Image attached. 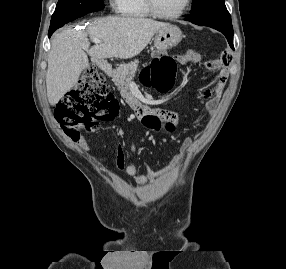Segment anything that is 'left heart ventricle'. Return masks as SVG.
I'll list each match as a JSON object with an SVG mask.
<instances>
[{
  "mask_svg": "<svg viewBox=\"0 0 286 269\" xmlns=\"http://www.w3.org/2000/svg\"><path fill=\"white\" fill-rule=\"evenodd\" d=\"M186 0H155L158 10L164 14H174L184 5Z\"/></svg>",
  "mask_w": 286,
  "mask_h": 269,
  "instance_id": "obj_1",
  "label": "left heart ventricle"
}]
</instances>
